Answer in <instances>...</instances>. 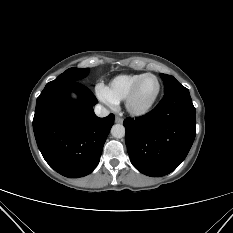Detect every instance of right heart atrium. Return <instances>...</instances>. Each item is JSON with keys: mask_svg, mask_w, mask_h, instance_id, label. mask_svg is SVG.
Returning <instances> with one entry per match:
<instances>
[{"mask_svg": "<svg viewBox=\"0 0 233 233\" xmlns=\"http://www.w3.org/2000/svg\"><path fill=\"white\" fill-rule=\"evenodd\" d=\"M95 93L99 100H101L102 102L108 105H114L116 103L111 97L107 87L104 86L103 84H98L96 86Z\"/></svg>", "mask_w": 233, "mask_h": 233, "instance_id": "d8ad5b80", "label": "right heart atrium"}]
</instances>
